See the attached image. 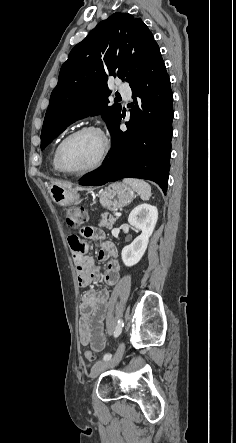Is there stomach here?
Segmentation results:
<instances>
[{"label": "stomach", "instance_id": "obj_1", "mask_svg": "<svg viewBox=\"0 0 236 443\" xmlns=\"http://www.w3.org/2000/svg\"><path fill=\"white\" fill-rule=\"evenodd\" d=\"M52 200L61 206L74 205L79 202L80 195L76 190L52 184L49 187ZM134 198V192L125 183L110 184L100 194L101 205L108 210H117L128 205Z\"/></svg>", "mask_w": 236, "mask_h": 443}]
</instances>
